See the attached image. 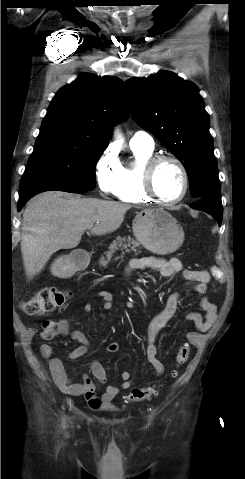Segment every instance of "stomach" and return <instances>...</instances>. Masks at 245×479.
<instances>
[{"label":"stomach","instance_id":"0dacf381","mask_svg":"<svg viewBox=\"0 0 245 479\" xmlns=\"http://www.w3.org/2000/svg\"><path fill=\"white\" fill-rule=\"evenodd\" d=\"M133 233L150 252L169 254L180 248L184 231L178 221L162 209H144L133 220ZM51 272L59 278H68L74 272L71 259L60 256L51 265Z\"/></svg>","mask_w":245,"mask_h":479}]
</instances>
